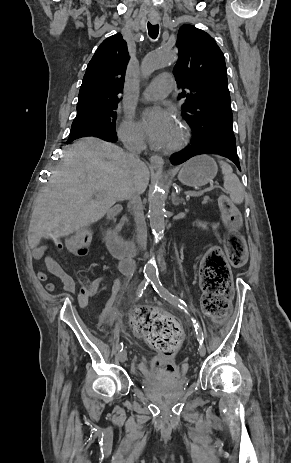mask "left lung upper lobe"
Segmentation results:
<instances>
[{
	"instance_id": "5c2ea615",
	"label": "left lung upper lobe",
	"mask_w": 291,
	"mask_h": 463,
	"mask_svg": "<svg viewBox=\"0 0 291 463\" xmlns=\"http://www.w3.org/2000/svg\"><path fill=\"white\" fill-rule=\"evenodd\" d=\"M176 46L174 67L180 98L186 99L182 116L193 135H208L235 142L224 54L215 40L192 25H183Z\"/></svg>"
}]
</instances>
